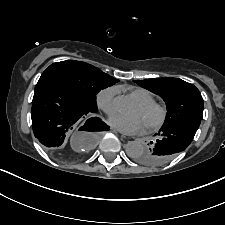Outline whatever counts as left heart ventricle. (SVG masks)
I'll return each instance as SVG.
<instances>
[{"label":"left heart ventricle","instance_id":"left-heart-ventricle-1","mask_svg":"<svg viewBox=\"0 0 225 225\" xmlns=\"http://www.w3.org/2000/svg\"><path fill=\"white\" fill-rule=\"evenodd\" d=\"M135 115H140L142 116L145 121L147 122V124L149 125L150 123H152L153 121H155L158 117V112L153 111L150 113L144 112L141 107L138 105L135 111Z\"/></svg>","mask_w":225,"mask_h":225}]
</instances>
